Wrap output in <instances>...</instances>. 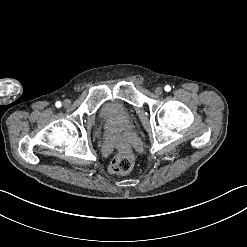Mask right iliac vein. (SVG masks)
Returning <instances> with one entry per match:
<instances>
[{"label": "right iliac vein", "mask_w": 247, "mask_h": 247, "mask_svg": "<svg viewBox=\"0 0 247 247\" xmlns=\"http://www.w3.org/2000/svg\"><path fill=\"white\" fill-rule=\"evenodd\" d=\"M70 104H71V102H70L69 100H67V99L63 101V105H64L65 107H69Z\"/></svg>", "instance_id": "right-iliac-vein-1"}]
</instances>
